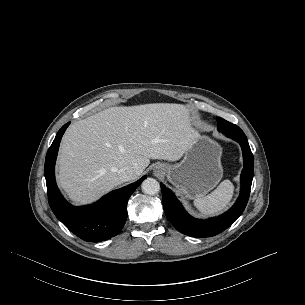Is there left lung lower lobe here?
I'll return each mask as SVG.
<instances>
[{
	"label": "left lung lower lobe",
	"instance_id": "0a47b994",
	"mask_svg": "<svg viewBox=\"0 0 305 305\" xmlns=\"http://www.w3.org/2000/svg\"><path fill=\"white\" fill-rule=\"evenodd\" d=\"M230 137V136H228ZM236 140L242 148L244 158V168L241 173V193L234 208L219 217L207 220H199L192 218L182 207L179 200L172 191L165 187L162 183L163 207L165 214L173 226L183 234L192 237H211L215 236L229 226H231L237 218L242 214L249 199L253 171L254 159L248 144L247 138L230 137Z\"/></svg>",
	"mask_w": 305,
	"mask_h": 305
}]
</instances>
